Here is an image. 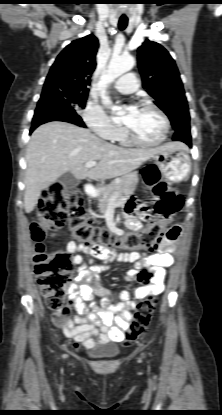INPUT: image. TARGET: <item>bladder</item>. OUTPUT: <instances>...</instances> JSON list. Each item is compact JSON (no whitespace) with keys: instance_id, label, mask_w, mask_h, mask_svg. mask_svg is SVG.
Wrapping results in <instances>:
<instances>
[{"instance_id":"obj_1","label":"bladder","mask_w":222,"mask_h":415,"mask_svg":"<svg viewBox=\"0 0 222 415\" xmlns=\"http://www.w3.org/2000/svg\"><path fill=\"white\" fill-rule=\"evenodd\" d=\"M120 352V348L116 345H102L90 349L88 354L94 358H115Z\"/></svg>"}]
</instances>
